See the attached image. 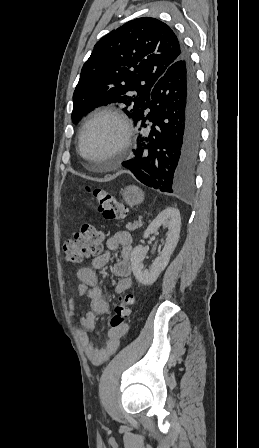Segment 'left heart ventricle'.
<instances>
[{
	"label": "left heart ventricle",
	"instance_id": "left-heart-ventricle-1",
	"mask_svg": "<svg viewBox=\"0 0 259 448\" xmlns=\"http://www.w3.org/2000/svg\"><path fill=\"white\" fill-rule=\"evenodd\" d=\"M120 133L119 125L110 118H102L91 123L82 137L81 157L87 162H105L110 159V148Z\"/></svg>",
	"mask_w": 259,
	"mask_h": 448
}]
</instances>
